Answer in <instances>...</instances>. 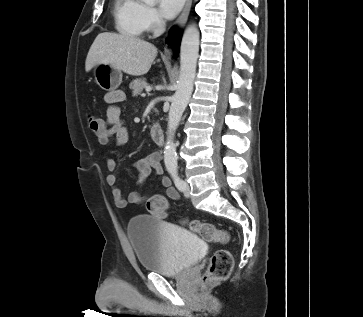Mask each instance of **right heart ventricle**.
<instances>
[{
    "mask_svg": "<svg viewBox=\"0 0 363 317\" xmlns=\"http://www.w3.org/2000/svg\"><path fill=\"white\" fill-rule=\"evenodd\" d=\"M145 6L140 0H114V20L119 33L141 37L145 32Z\"/></svg>",
    "mask_w": 363,
    "mask_h": 317,
    "instance_id": "e07e8e85",
    "label": "right heart ventricle"
}]
</instances>
